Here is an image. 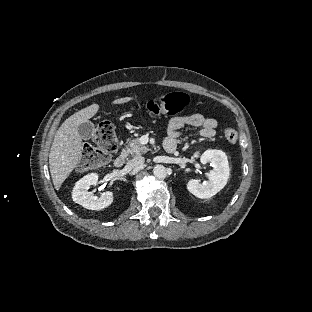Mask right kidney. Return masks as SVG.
<instances>
[{"label": "right kidney", "instance_id": "right-kidney-1", "mask_svg": "<svg viewBox=\"0 0 312 312\" xmlns=\"http://www.w3.org/2000/svg\"><path fill=\"white\" fill-rule=\"evenodd\" d=\"M97 181V173H90L77 181L72 191L73 201L89 210H101L109 206L113 202L112 192L107 191L97 197L88 191L91 185L97 184Z\"/></svg>", "mask_w": 312, "mask_h": 312}]
</instances>
